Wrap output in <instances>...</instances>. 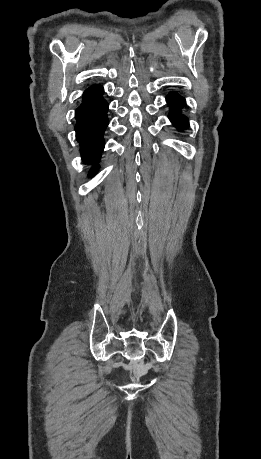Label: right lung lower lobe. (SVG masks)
Here are the masks:
<instances>
[{
    "mask_svg": "<svg viewBox=\"0 0 261 459\" xmlns=\"http://www.w3.org/2000/svg\"><path fill=\"white\" fill-rule=\"evenodd\" d=\"M103 87L93 85L83 94L82 104L75 112L77 124L76 137L81 146L84 163L98 162L104 148L103 133L108 125V103L103 99ZM98 166L91 169V174Z\"/></svg>",
    "mask_w": 261,
    "mask_h": 459,
    "instance_id": "right-lung-lower-lobe-1",
    "label": "right lung lower lobe"
}]
</instances>
